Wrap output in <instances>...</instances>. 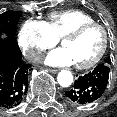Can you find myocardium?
<instances>
[{"label": "myocardium", "mask_w": 117, "mask_h": 117, "mask_svg": "<svg viewBox=\"0 0 117 117\" xmlns=\"http://www.w3.org/2000/svg\"><path fill=\"white\" fill-rule=\"evenodd\" d=\"M91 28H98L101 30V32L103 34V43H102V46H101L100 50L98 51V53L89 62L84 63V64H75L76 68H78L80 70H86V69H90V68L94 67L97 63L100 62V60L105 55V53L108 49V45H109V33H108L107 29L103 25L96 23V22L86 23V24H82V25L74 28L73 30L69 31L68 33L63 35L60 40L61 44L63 45V42L65 40L78 38L80 35H82L84 32H86L87 30H89Z\"/></svg>", "instance_id": "1"}]
</instances>
